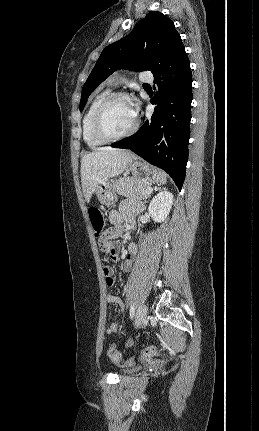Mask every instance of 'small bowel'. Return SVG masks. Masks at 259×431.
I'll list each match as a JSON object with an SVG mask.
<instances>
[{"label":"small bowel","mask_w":259,"mask_h":431,"mask_svg":"<svg viewBox=\"0 0 259 431\" xmlns=\"http://www.w3.org/2000/svg\"><path fill=\"white\" fill-rule=\"evenodd\" d=\"M130 212L127 207H121L118 210H113L109 214V222L111 227L105 231V237L110 239L111 241H115L119 239L123 232V223L126 219L129 218ZM136 247L135 245H131L129 247V252L125 254V261L123 268L126 272L131 271L132 269V255L135 253ZM104 275H105V285L108 288H111L114 285L115 277L113 275V270L111 267H104ZM107 302L112 304H117L121 308L124 307V302L122 299L118 298L115 295L109 294L106 297ZM120 330V327L117 323H112L107 329L106 334L112 335L117 333Z\"/></svg>","instance_id":"small-bowel-1"}]
</instances>
